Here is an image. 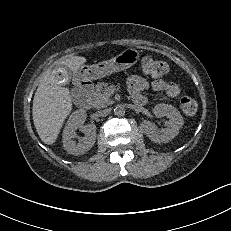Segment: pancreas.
<instances>
[{"mask_svg": "<svg viewBox=\"0 0 231 231\" xmlns=\"http://www.w3.org/2000/svg\"><path fill=\"white\" fill-rule=\"evenodd\" d=\"M106 89L107 84L104 82H100L95 86L91 94V105L94 108H104L113 103L110 99V95L106 92Z\"/></svg>", "mask_w": 231, "mask_h": 231, "instance_id": "obj_1", "label": "pancreas"}]
</instances>
